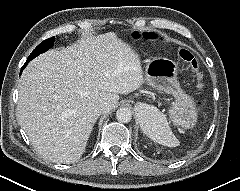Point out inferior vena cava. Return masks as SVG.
<instances>
[{
    "mask_svg": "<svg viewBox=\"0 0 240 191\" xmlns=\"http://www.w3.org/2000/svg\"><path fill=\"white\" fill-rule=\"evenodd\" d=\"M107 110V105L105 103H99L95 106V111L97 113H104Z\"/></svg>",
    "mask_w": 240,
    "mask_h": 191,
    "instance_id": "602c4592",
    "label": "inferior vena cava"
}]
</instances>
